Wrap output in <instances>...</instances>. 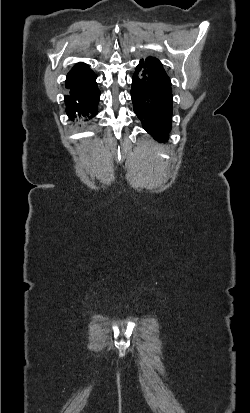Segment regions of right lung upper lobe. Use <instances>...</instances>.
<instances>
[{"label": "right lung upper lobe", "instance_id": "obj_1", "mask_svg": "<svg viewBox=\"0 0 250 413\" xmlns=\"http://www.w3.org/2000/svg\"><path fill=\"white\" fill-rule=\"evenodd\" d=\"M93 72L89 69L88 65L85 63H78L75 67L68 73L66 82L76 83L82 79L88 77Z\"/></svg>", "mask_w": 250, "mask_h": 413}]
</instances>
